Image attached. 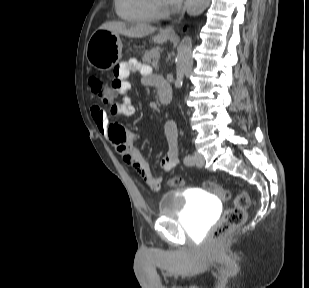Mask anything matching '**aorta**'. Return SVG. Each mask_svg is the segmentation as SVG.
<instances>
[{
    "instance_id": "1",
    "label": "aorta",
    "mask_w": 309,
    "mask_h": 288,
    "mask_svg": "<svg viewBox=\"0 0 309 288\" xmlns=\"http://www.w3.org/2000/svg\"><path fill=\"white\" fill-rule=\"evenodd\" d=\"M210 4V0H186L185 8L189 16H198ZM192 52V40L190 37H184L178 47L176 57V83H181L190 62Z\"/></svg>"
}]
</instances>
